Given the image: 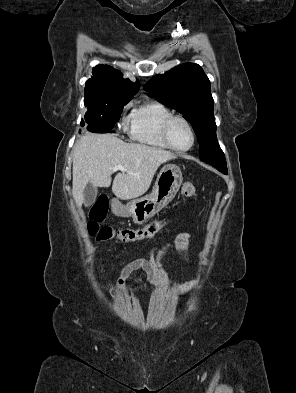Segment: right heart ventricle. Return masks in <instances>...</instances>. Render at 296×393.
<instances>
[{
  "instance_id": "right-heart-ventricle-1",
  "label": "right heart ventricle",
  "mask_w": 296,
  "mask_h": 393,
  "mask_svg": "<svg viewBox=\"0 0 296 393\" xmlns=\"http://www.w3.org/2000/svg\"><path fill=\"white\" fill-rule=\"evenodd\" d=\"M171 115V110L160 102L143 103L131 114V138L149 147L171 149L162 137V126Z\"/></svg>"
}]
</instances>
